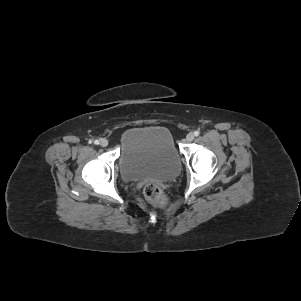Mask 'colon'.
Masks as SVG:
<instances>
[{"label": "colon", "mask_w": 301, "mask_h": 301, "mask_svg": "<svg viewBox=\"0 0 301 301\" xmlns=\"http://www.w3.org/2000/svg\"><path fill=\"white\" fill-rule=\"evenodd\" d=\"M144 196L152 204L163 207L168 204V197L165 192L155 183H147L143 189Z\"/></svg>", "instance_id": "5ec220e1"}]
</instances>
